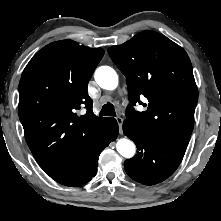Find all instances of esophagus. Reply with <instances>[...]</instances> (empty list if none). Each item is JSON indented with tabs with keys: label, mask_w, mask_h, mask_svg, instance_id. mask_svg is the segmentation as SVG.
Wrapping results in <instances>:
<instances>
[{
	"label": "esophagus",
	"mask_w": 221,
	"mask_h": 221,
	"mask_svg": "<svg viewBox=\"0 0 221 221\" xmlns=\"http://www.w3.org/2000/svg\"><path fill=\"white\" fill-rule=\"evenodd\" d=\"M116 121L118 123L119 126V131L120 133L122 132V124H123V119L121 117H116Z\"/></svg>",
	"instance_id": "34e87169"
}]
</instances>
